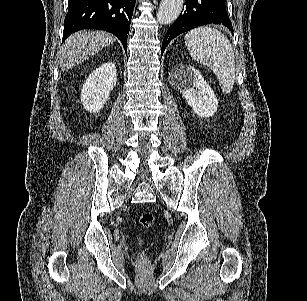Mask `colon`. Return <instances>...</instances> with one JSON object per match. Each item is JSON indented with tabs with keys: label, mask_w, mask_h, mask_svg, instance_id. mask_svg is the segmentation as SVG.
I'll return each mask as SVG.
<instances>
[{
	"label": "colon",
	"mask_w": 307,
	"mask_h": 301,
	"mask_svg": "<svg viewBox=\"0 0 307 301\" xmlns=\"http://www.w3.org/2000/svg\"><path fill=\"white\" fill-rule=\"evenodd\" d=\"M139 224L143 228H151L154 225L155 217L151 212H145L139 217ZM139 262L145 264L147 262V256L145 253L139 255Z\"/></svg>",
	"instance_id": "1"
}]
</instances>
